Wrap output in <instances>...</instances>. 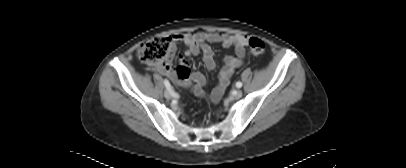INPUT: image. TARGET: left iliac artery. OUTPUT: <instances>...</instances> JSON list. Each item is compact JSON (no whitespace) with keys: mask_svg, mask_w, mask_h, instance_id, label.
<instances>
[{"mask_svg":"<svg viewBox=\"0 0 406 168\" xmlns=\"http://www.w3.org/2000/svg\"><path fill=\"white\" fill-rule=\"evenodd\" d=\"M236 87H237V88H241V87H242V83H241V82H237V83H236Z\"/></svg>","mask_w":406,"mask_h":168,"instance_id":"obj_1","label":"left iliac artery"}]
</instances>
